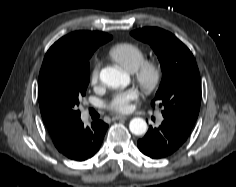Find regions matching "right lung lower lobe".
I'll list each match as a JSON object with an SVG mask.
<instances>
[{"label":"right lung lower lobe","mask_w":236,"mask_h":187,"mask_svg":"<svg viewBox=\"0 0 236 187\" xmlns=\"http://www.w3.org/2000/svg\"><path fill=\"white\" fill-rule=\"evenodd\" d=\"M107 128L108 125L101 120L92 123L91 127L85 128L80 120L61 153L75 161L91 158L99 150Z\"/></svg>","instance_id":"obj_1"}]
</instances>
